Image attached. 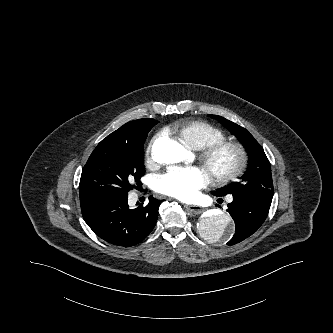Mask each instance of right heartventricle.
<instances>
[{"label":"right heart ventricle","instance_id":"right-heart-ventricle-1","mask_svg":"<svg viewBox=\"0 0 333 333\" xmlns=\"http://www.w3.org/2000/svg\"><path fill=\"white\" fill-rule=\"evenodd\" d=\"M171 129L183 145L192 149H201L226 139L221 129L202 121L180 120Z\"/></svg>","mask_w":333,"mask_h":333}]
</instances>
